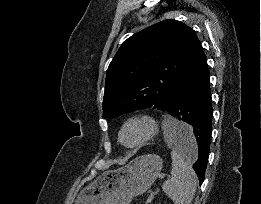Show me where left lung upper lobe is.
Instances as JSON below:
<instances>
[{
	"label": "left lung upper lobe",
	"instance_id": "left-lung-upper-lobe-1",
	"mask_svg": "<svg viewBox=\"0 0 261 204\" xmlns=\"http://www.w3.org/2000/svg\"><path fill=\"white\" fill-rule=\"evenodd\" d=\"M197 42L190 27L172 19L124 41L107 70L104 117L115 118L152 105L166 111Z\"/></svg>",
	"mask_w": 261,
	"mask_h": 204
}]
</instances>
